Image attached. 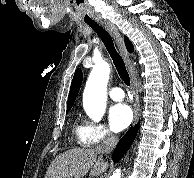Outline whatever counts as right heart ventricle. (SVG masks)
Listing matches in <instances>:
<instances>
[{
  "label": "right heart ventricle",
  "mask_w": 194,
  "mask_h": 178,
  "mask_svg": "<svg viewBox=\"0 0 194 178\" xmlns=\"http://www.w3.org/2000/svg\"><path fill=\"white\" fill-rule=\"evenodd\" d=\"M82 126L78 124L77 121H74L73 123V131L76 134V136L78 137V139H80L81 137V133H82Z\"/></svg>",
  "instance_id": "obj_1"
}]
</instances>
